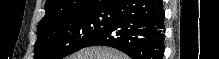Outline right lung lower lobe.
Returning a JSON list of instances; mask_svg holds the SVG:
<instances>
[{"mask_svg": "<svg viewBox=\"0 0 219 59\" xmlns=\"http://www.w3.org/2000/svg\"><path fill=\"white\" fill-rule=\"evenodd\" d=\"M162 0H118L109 27L85 47H114L132 59H162L164 53Z\"/></svg>", "mask_w": 219, "mask_h": 59, "instance_id": "1", "label": "right lung lower lobe"}]
</instances>
